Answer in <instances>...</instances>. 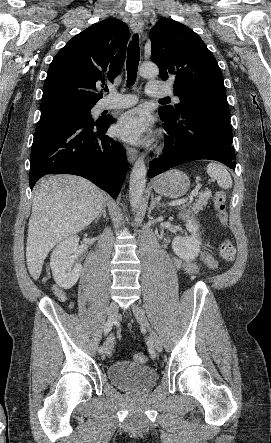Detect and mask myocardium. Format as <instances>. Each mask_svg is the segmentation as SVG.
Here are the masks:
<instances>
[{
    "instance_id": "1",
    "label": "myocardium",
    "mask_w": 271,
    "mask_h": 443,
    "mask_svg": "<svg viewBox=\"0 0 271 443\" xmlns=\"http://www.w3.org/2000/svg\"><path fill=\"white\" fill-rule=\"evenodd\" d=\"M158 150H159V151H162V150H163V146L160 145V146L158 147Z\"/></svg>"
}]
</instances>
